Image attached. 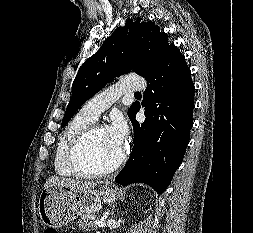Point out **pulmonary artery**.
Listing matches in <instances>:
<instances>
[{
    "label": "pulmonary artery",
    "instance_id": "1",
    "mask_svg": "<svg viewBox=\"0 0 253 233\" xmlns=\"http://www.w3.org/2000/svg\"><path fill=\"white\" fill-rule=\"evenodd\" d=\"M144 87L145 81L139 77L124 78L91 98L82 106L80 113L95 120L121 95L136 93L144 89Z\"/></svg>",
    "mask_w": 253,
    "mask_h": 233
}]
</instances>
